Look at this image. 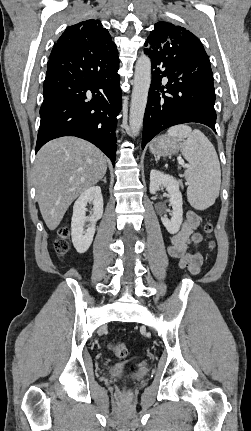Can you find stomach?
Here are the masks:
<instances>
[{
  "label": "stomach",
  "mask_w": 251,
  "mask_h": 431,
  "mask_svg": "<svg viewBox=\"0 0 251 431\" xmlns=\"http://www.w3.org/2000/svg\"><path fill=\"white\" fill-rule=\"evenodd\" d=\"M181 149V142L166 135L156 138L150 144V151L157 156H171Z\"/></svg>",
  "instance_id": "0dacf381"
}]
</instances>
